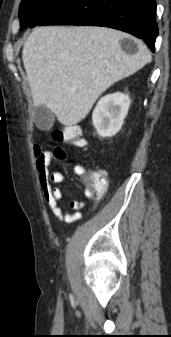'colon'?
Wrapping results in <instances>:
<instances>
[{"instance_id":"5ec220e1","label":"colon","mask_w":171,"mask_h":337,"mask_svg":"<svg viewBox=\"0 0 171 337\" xmlns=\"http://www.w3.org/2000/svg\"><path fill=\"white\" fill-rule=\"evenodd\" d=\"M53 140L57 143L69 144L76 147H84L86 145V140L83 137L82 131L76 126H68L64 129L55 130L52 133ZM57 158H65V152L57 148L54 152ZM85 181L90 187L92 194L96 199L102 198L108 187V180L104 173L102 172H92L86 174Z\"/></svg>"}]
</instances>
